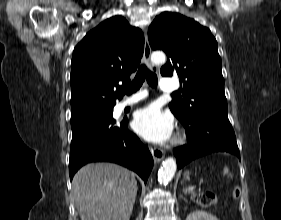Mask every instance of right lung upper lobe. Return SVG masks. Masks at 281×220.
Segmentation results:
<instances>
[{"mask_svg":"<svg viewBox=\"0 0 281 220\" xmlns=\"http://www.w3.org/2000/svg\"><path fill=\"white\" fill-rule=\"evenodd\" d=\"M144 35L121 16L86 34L71 62V119L101 113L121 99L118 83L130 82L143 55Z\"/></svg>","mask_w":281,"mask_h":220,"instance_id":"1","label":"right lung upper lobe"}]
</instances>
